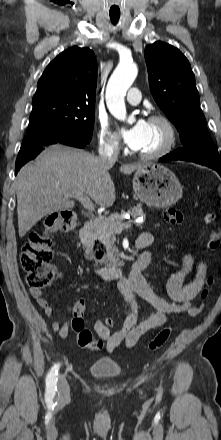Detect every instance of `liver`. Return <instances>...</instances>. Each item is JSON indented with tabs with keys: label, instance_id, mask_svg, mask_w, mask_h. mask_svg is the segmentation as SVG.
Listing matches in <instances>:
<instances>
[{
	"label": "liver",
	"instance_id": "obj_1",
	"mask_svg": "<svg viewBox=\"0 0 221 440\" xmlns=\"http://www.w3.org/2000/svg\"><path fill=\"white\" fill-rule=\"evenodd\" d=\"M142 163L123 164L120 172L131 174ZM112 165L92 153L51 145L36 160L18 172L15 188L19 236L23 237L48 214L75 206L71 196L88 194L101 207L115 201V186L109 174Z\"/></svg>",
	"mask_w": 221,
	"mask_h": 440
}]
</instances>
